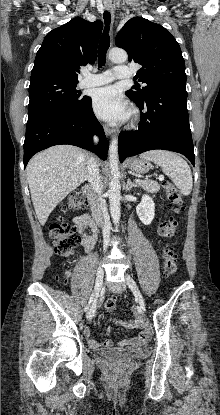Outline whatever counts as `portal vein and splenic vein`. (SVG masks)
<instances>
[{
    "label": "portal vein and splenic vein",
    "mask_w": 220,
    "mask_h": 415,
    "mask_svg": "<svg viewBox=\"0 0 220 415\" xmlns=\"http://www.w3.org/2000/svg\"><path fill=\"white\" fill-rule=\"evenodd\" d=\"M163 178H164V176H162V175H161V176H159V179H163ZM140 181H141V180H139V179H136V180H135V182H140Z\"/></svg>",
    "instance_id": "18ae733b"
}]
</instances>
